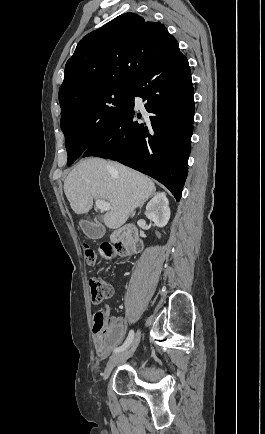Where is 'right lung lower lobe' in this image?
Wrapping results in <instances>:
<instances>
[{
	"instance_id": "98d812e1",
	"label": "right lung lower lobe",
	"mask_w": 265,
	"mask_h": 434,
	"mask_svg": "<svg viewBox=\"0 0 265 434\" xmlns=\"http://www.w3.org/2000/svg\"><path fill=\"white\" fill-rule=\"evenodd\" d=\"M178 46L134 80L133 99L123 117L82 154L117 160L145 173L177 201L187 177L194 117L190 67ZM136 96L145 102L142 114H137Z\"/></svg>"
}]
</instances>
